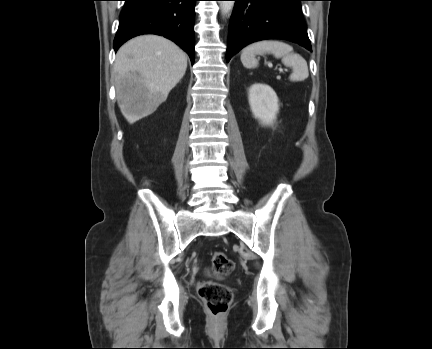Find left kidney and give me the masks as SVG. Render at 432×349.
<instances>
[{"instance_id":"5707ae66","label":"left kidney","mask_w":432,"mask_h":349,"mask_svg":"<svg viewBox=\"0 0 432 349\" xmlns=\"http://www.w3.org/2000/svg\"><path fill=\"white\" fill-rule=\"evenodd\" d=\"M252 114L264 125H272L279 112L278 97L275 91L266 84H253L248 93Z\"/></svg>"}]
</instances>
